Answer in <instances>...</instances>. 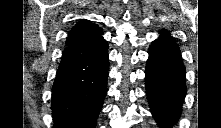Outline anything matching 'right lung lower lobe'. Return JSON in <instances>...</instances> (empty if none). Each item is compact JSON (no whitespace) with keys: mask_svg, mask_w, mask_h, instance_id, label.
Segmentation results:
<instances>
[{"mask_svg":"<svg viewBox=\"0 0 221 128\" xmlns=\"http://www.w3.org/2000/svg\"><path fill=\"white\" fill-rule=\"evenodd\" d=\"M108 70V44L102 36L66 46L52 87L53 128H95Z\"/></svg>","mask_w":221,"mask_h":128,"instance_id":"1","label":"right lung lower lobe"}]
</instances>
